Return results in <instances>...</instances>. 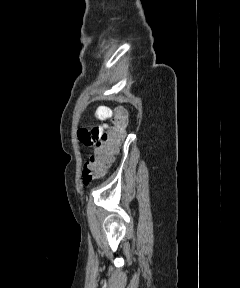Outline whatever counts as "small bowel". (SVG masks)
I'll use <instances>...</instances> for the list:
<instances>
[{
	"instance_id": "obj_1",
	"label": "small bowel",
	"mask_w": 240,
	"mask_h": 288,
	"mask_svg": "<svg viewBox=\"0 0 240 288\" xmlns=\"http://www.w3.org/2000/svg\"><path fill=\"white\" fill-rule=\"evenodd\" d=\"M113 112L107 106H100L94 112V117L98 126H94L90 129L80 128L78 130V138L80 142L85 146H93L100 139L102 133L110 128L107 122L112 118Z\"/></svg>"
}]
</instances>
